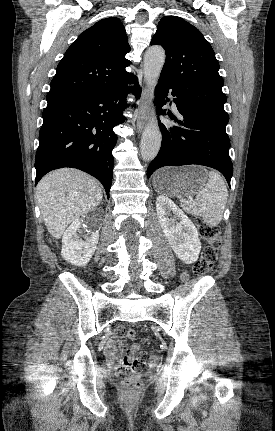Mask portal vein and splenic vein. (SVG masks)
<instances>
[{
    "label": "portal vein and splenic vein",
    "instance_id": "obj_1",
    "mask_svg": "<svg viewBox=\"0 0 275 431\" xmlns=\"http://www.w3.org/2000/svg\"><path fill=\"white\" fill-rule=\"evenodd\" d=\"M189 201H193V197L191 195L187 196Z\"/></svg>",
    "mask_w": 275,
    "mask_h": 431
}]
</instances>
